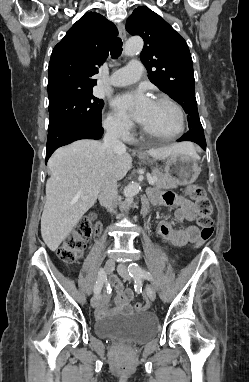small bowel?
<instances>
[{
	"label": "small bowel",
	"mask_w": 249,
	"mask_h": 382,
	"mask_svg": "<svg viewBox=\"0 0 249 382\" xmlns=\"http://www.w3.org/2000/svg\"><path fill=\"white\" fill-rule=\"evenodd\" d=\"M150 200L156 205L176 207L174 220L177 223L194 222L197 219L198 212L195 205L190 200L173 192H165L163 194L153 192L151 193ZM158 231L165 240L178 246H184L195 241L199 235V229L194 224L175 229L171 222L165 219L160 221ZM110 284L115 287L117 292L116 305L110 309L109 297L105 295L96 306L97 315L102 317L108 314L129 313L131 310L130 301L133 297L132 291L125 289L121 280L115 276L110 279Z\"/></svg>",
	"instance_id": "obj_1"
}]
</instances>
